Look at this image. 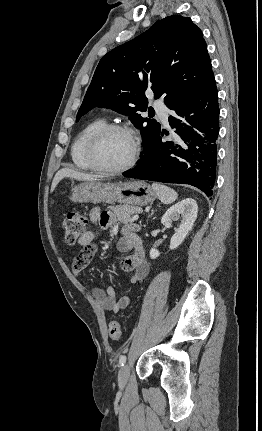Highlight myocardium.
Masks as SVG:
<instances>
[{"instance_id": "obj_1", "label": "myocardium", "mask_w": 262, "mask_h": 431, "mask_svg": "<svg viewBox=\"0 0 262 431\" xmlns=\"http://www.w3.org/2000/svg\"><path fill=\"white\" fill-rule=\"evenodd\" d=\"M113 132H123L128 134L134 144L133 153L129 159V161L123 166L112 168L104 165L98 154L99 145L102 139ZM141 142L136 132L127 125L124 124H107L106 126L99 129L90 139L87 148V158L90 164L94 167L95 170L106 173V174H120L129 169H131L139 159L141 153Z\"/></svg>"}]
</instances>
